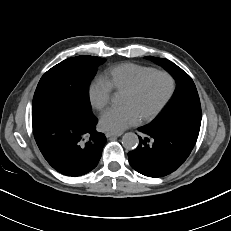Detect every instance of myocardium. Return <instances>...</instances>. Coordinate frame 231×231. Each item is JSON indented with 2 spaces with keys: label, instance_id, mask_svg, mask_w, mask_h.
<instances>
[{
  "label": "myocardium",
  "instance_id": "1",
  "mask_svg": "<svg viewBox=\"0 0 231 231\" xmlns=\"http://www.w3.org/2000/svg\"><path fill=\"white\" fill-rule=\"evenodd\" d=\"M158 74L164 75L170 80V90H169L167 96L165 97V99L162 101V103L154 111H152L151 113L140 118V120L142 122H148V121H151L152 119H154L166 107V105L170 102V100L172 99V97L175 93V89H176V82H175L174 77L168 71L155 69V70L147 73L146 75L142 76L132 86H130L128 89H126L124 91V93L133 94V93L137 92L150 77H152L154 75H158Z\"/></svg>",
  "mask_w": 231,
  "mask_h": 231
}]
</instances>
